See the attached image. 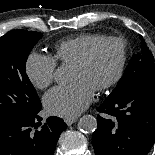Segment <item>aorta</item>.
I'll list each match as a JSON object with an SVG mask.
<instances>
[{
    "instance_id": "obj_1",
    "label": "aorta",
    "mask_w": 155,
    "mask_h": 155,
    "mask_svg": "<svg viewBox=\"0 0 155 155\" xmlns=\"http://www.w3.org/2000/svg\"><path fill=\"white\" fill-rule=\"evenodd\" d=\"M55 79L58 83H64L68 80V74L64 67L57 69ZM78 128L85 133L94 132L97 128V120L92 115H84L78 121Z\"/></svg>"
}]
</instances>
